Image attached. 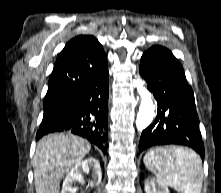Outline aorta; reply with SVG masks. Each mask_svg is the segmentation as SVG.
<instances>
[{
	"label": "aorta",
	"mask_w": 221,
	"mask_h": 193,
	"mask_svg": "<svg viewBox=\"0 0 221 193\" xmlns=\"http://www.w3.org/2000/svg\"><path fill=\"white\" fill-rule=\"evenodd\" d=\"M135 86L141 97V104L135 123L137 129L142 131L151 124L155 114V105L152 100V94L144 87L142 79H136Z\"/></svg>",
	"instance_id": "aorta-1"
}]
</instances>
